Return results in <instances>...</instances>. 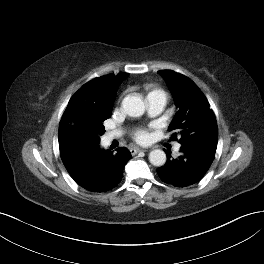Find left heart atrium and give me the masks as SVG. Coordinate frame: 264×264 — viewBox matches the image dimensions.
I'll return each mask as SVG.
<instances>
[{"label":"left heart atrium","mask_w":264,"mask_h":264,"mask_svg":"<svg viewBox=\"0 0 264 264\" xmlns=\"http://www.w3.org/2000/svg\"><path fill=\"white\" fill-rule=\"evenodd\" d=\"M134 139L140 144H146L150 140V135L147 129H138L133 133Z\"/></svg>","instance_id":"obj_1"}]
</instances>
